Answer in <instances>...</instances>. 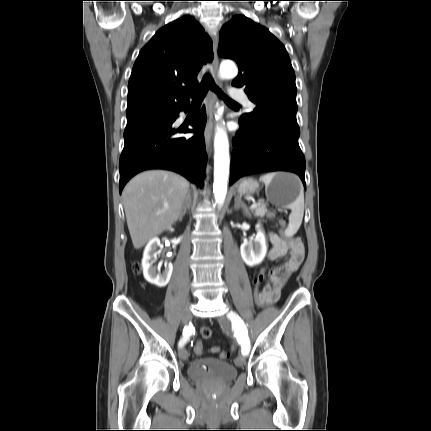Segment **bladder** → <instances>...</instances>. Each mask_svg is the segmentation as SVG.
<instances>
[{
  "mask_svg": "<svg viewBox=\"0 0 431 431\" xmlns=\"http://www.w3.org/2000/svg\"><path fill=\"white\" fill-rule=\"evenodd\" d=\"M188 376L197 382L221 385L236 379L238 371L232 364L215 358H203L191 363Z\"/></svg>",
  "mask_w": 431,
  "mask_h": 431,
  "instance_id": "31cf9c89",
  "label": "bladder"
}]
</instances>
